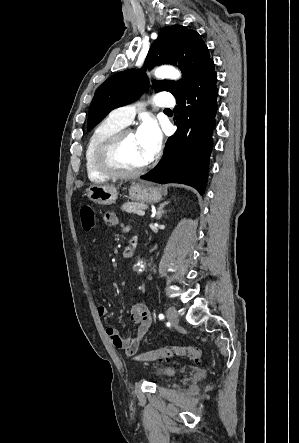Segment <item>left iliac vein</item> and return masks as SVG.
<instances>
[{
    "instance_id": "1",
    "label": "left iliac vein",
    "mask_w": 299,
    "mask_h": 443,
    "mask_svg": "<svg viewBox=\"0 0 299 443\" xmlns=\"http://www.w3.org/2000/svg\"><path fill=\"white\" fill-rule=\"evenodd\" d=\"M166 315L171 324L177 325L179 323L178 314L174 307H169L167 309Z\"/></svg>"
}]
</instances>
